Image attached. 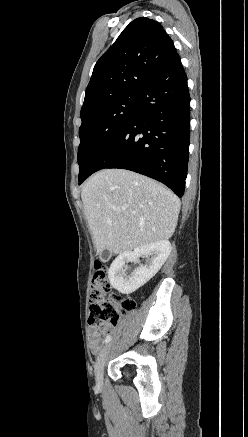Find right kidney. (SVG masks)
<instances>
[{"instance_id":"right-kidney-1","label":"right kidney","mask_w":248,"mask_h":437,"mask_svg":"<svg viewBox=\"0 0 248 437\" xmlns=\"http://www.w3.org/2000/svg\"><path fill=\"white\" fill-rule=\"evenodd\" d=\"M172 250L168 240H161L137 247L134 251L119 254L108 271L110 284L123 294H131L146 284L160 270ZM151 258L146 265H140L130 275H126L125 263L138 262L139 257Z\"/></svg>"}]
</instances>
